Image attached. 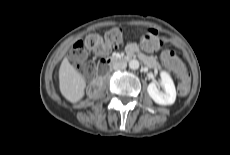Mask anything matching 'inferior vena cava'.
I'll return each instance as SVG.
<instances>
[{"label":"inferior vena cava","instance_id":"obj_1","mask_svg":"<svg viewBox=\"0 0 230 155\" xmlns=\"http://www.w3.org/2000/svg\"><path fill=\"white\" fill-rule=\"evenodd\" d=\"M126 66H127V63L125 61H118V62L114 63L113 69L114 70H121V69H125Z\"/></svg>","mask_w":230,"mask_h":155}]
</instances>
